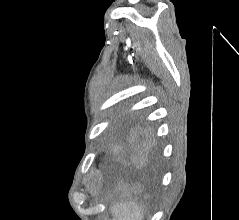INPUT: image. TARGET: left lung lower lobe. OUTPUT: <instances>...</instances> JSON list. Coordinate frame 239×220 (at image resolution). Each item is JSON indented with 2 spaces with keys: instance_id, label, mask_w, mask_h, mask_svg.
<instances>
[{
  "instance_id": "left-lung-lower-lobe-1",
  "label": "left lung lower lobe",
  "mask_w": 239,
  "mask_h": 220,
  "mask_svg": "<svg viewBox=\"0 0 239 220\" xmlns=\"http://www.w3.org/2000/svg\"><path fill=\"white\" fill-rule=\"evenodd\" d=\"M111 143L114 161L139 160L152 150L149 134L135 123L119 129L113 135Z\"/></svg>"
}]
</instances>
